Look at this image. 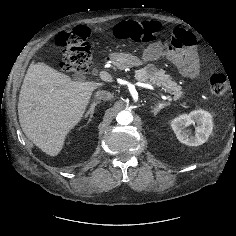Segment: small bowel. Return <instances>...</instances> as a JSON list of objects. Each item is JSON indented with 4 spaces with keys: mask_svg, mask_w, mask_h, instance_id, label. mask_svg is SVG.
<instances>
[{
    "mask_svg": "<svg viewBox=\"0 0 236 236\" xmlns=\"http://www.w3.org/2000/svg\"><path fill=\"white\" fill-rule=\"evenodd\" d=\"M161 58L170 60L178 72L190 80H195L200 72L202 59L197 50V39L184 29H175L170 41L158 40L150 44L141 55L145 62Z\"/></svg>",
    "mask_w": 236,
    "mask_h": 236,
    "instance_id": "1",
    "label": "small bowel"
}]
</instances>
